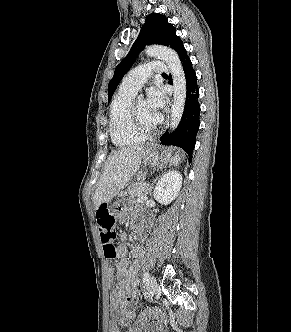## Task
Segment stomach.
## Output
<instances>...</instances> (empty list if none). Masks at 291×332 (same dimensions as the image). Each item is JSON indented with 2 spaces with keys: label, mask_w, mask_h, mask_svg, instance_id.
I'll use <instances>...</instances> for the list:
<instances>
[{
  "label": "stomach",
  "mask_w": 291,
  "mask_h": 332,
  "mask_svg": "<svg viewBox=\"0 0 291 332\" xmlns=\"http://www.w3.org/2000/svg\"><path fill=\"white\" fill-rule=\"evenodd\" d=\"M177 155H178V153L173 155V152L171 149H168L162 153H159V146H157L156 144H151L148 148H146L144 150L143 162L152 167H156L161 164H166V163L170 162ZM117 195L120 197V199H118L114 203V207H115L116 214H119L127 205L130 204V201L128 199L124 198L123 191H120Z\"/></svg>",
  "instance_id": "stomach-1"
}]
</instances>
